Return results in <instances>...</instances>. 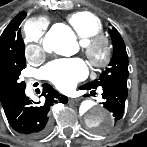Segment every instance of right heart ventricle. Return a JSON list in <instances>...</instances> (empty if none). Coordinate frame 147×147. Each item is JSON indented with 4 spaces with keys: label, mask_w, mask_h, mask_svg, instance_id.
Masks as SVG:
<instances>
[{
    "label": "right heart ventricle",
    "mask_w": 147,
    "mask_h": 147,
    "mask_svg": "<svg viewBox=\"0 0 147 147\" xmlns=\"http://www.w3.org/2000/svg\"><path fill=\"white\" fill-rule=\"evenodd\" d=\"M68 22L75 30L82 43L102 32L100 19L90 12H77L68 17Z\"/></svg>",
    "instance_id": "obj_1"
}]
</instances>
